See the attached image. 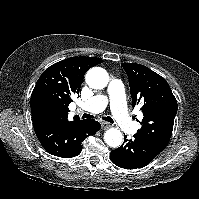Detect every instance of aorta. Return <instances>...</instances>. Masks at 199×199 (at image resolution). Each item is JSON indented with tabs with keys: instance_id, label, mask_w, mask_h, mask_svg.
Returning a JSON list of instances; mask_svg holds the SVG:
<instances>
[{
	"instance_id": "762f6f07",
	"label": "aorta",
	"mask_w": 199,
	"mask_h": 199,
	"mask_svg": "<svg viewBox=\"0 0 199 199\" xmlns=\"http://www.w3.org/2000/svg\"><path fill=\"white\" fill-rule=\"evenodd\" d=\"M86 82L93 89H103L109 82V76L105 69L93 67L86 73ZM123 135L116 128L108 129L104 134V141L110 147H119L122 144Z\"/></svg>"
}]
</instances>
